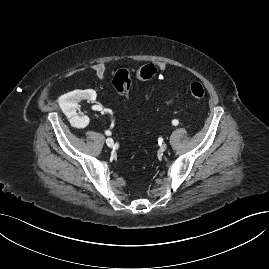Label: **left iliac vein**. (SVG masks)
Instances as JSON below:
<instances>
[{"label": "left iliac vein", "mask_w": 269, "mask_h": 269, "mask_svg": "<svg viewBox=\"0 0 269 269\" xmlns=\"http://www.w3.org/2000/svg\"><path fill=\"white\" fill-rule=\"evenodd\" d=\"M166 149H167V144L162 143V144L160 145V150H161V151H165Z\"/></svg>", "instance_id": "4c4485c4"}]
</instances>
